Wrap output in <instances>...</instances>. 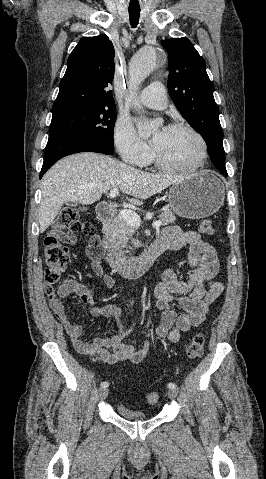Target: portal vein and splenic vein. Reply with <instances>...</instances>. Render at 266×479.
<instances>
[{
    "instance_id": "1",
    "label": "portal vein and splenic vein",
    "mask_w": 266,
    "mask_h": 479,
    "mask_svg": "<svg viewBox=\"0 0 266 479\" xmlns=\"http://www.w3.org/2000/svg\"><path fill=\"white\" fill-rule=\"evenodd\" d=\"M118 189L117 188H114L110 191V198H115L117 195H118ZM120 216L125 220V222H127L128 224H130L131 226H134V227H138L140 226V223H141V219L139 217L138 214H136L135 212L129 210V209H123L120 211ZM162 225V221H155L152 226L154 228H160V226Z\"/></svg>"
}]
</instances>
